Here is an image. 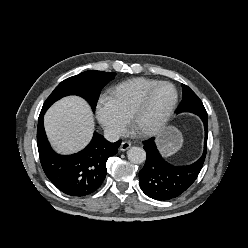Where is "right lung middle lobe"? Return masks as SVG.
I'll return each mask as SVG.
<instances>
[{
	"label": "right lung middle lobe",
	"instance_id": "obj_1",
	"mask_svg": "<svg viewBox=\"0 0 248 248\" xmlns=\"http://www.w3.org/2000/svg\"><path fill=\"white\" fill-rule=\"evenodd\" d=\"M116 73L85 71L62 81L46 99L42 109L47 110L55 101L67 95L83 97L94 110L102 88L115 77Z\"/></svg>",
	"mask_w": 248,
	"mask_h": 248
}]
</instances>
